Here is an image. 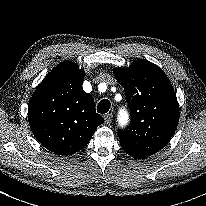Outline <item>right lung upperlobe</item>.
<instances>
[{
    "label": "right lung upper lobe",
    "mask_w": 206,
    "mask_h": 206,
    "mask_svg": "<svg viewBox=\"0 0 206 206\" xmlns=\"http://www.w3.org/2000/svg\"><path fill=\"white\" fill-rule=\"evenodd\" d=\"M83 80L84 71L65 61L44 78L29 102L31 130L51 152L67 156L83 149L104 122Z\"/></svg>",
    "instance_id": "cb5924a9"
}]
</instances>
